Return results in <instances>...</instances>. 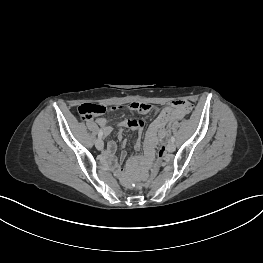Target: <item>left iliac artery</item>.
<instances>
[{
	"label": "left iliac artery",
	"mask_w": 263,
	"mask_h": 263,
	"mask_svg": "<svg viewBox=\"0 0 263 263\" xmlns=\"http://www.w3.org/2000/svg\"><path fill=\"white\" fill-rule=\"evenodd\" d=\"M170 140H171V142H173V143L175 142V138H174L173 136L171 137Z\"/></svg>",
	"instance_id": "44dca946"
}]
</instances>
